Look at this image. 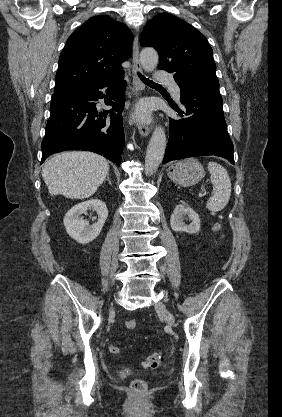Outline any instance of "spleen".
Listing matches in <instances>:
<instances>
[{"mask_svg": "<svg viewBox=\"0 0 282 417\" xmlns=\"http://www.w3.org/2000/svg\"><path fill=\"white\" fill-rule=\"evenodd\" d=\"M208 170L213 184V192L207 202V209L212 213H219V211L225 209L229 202L231 194L230 176L226 168L218 162H208Z\"/></svg>", "mask_w": 282, "mask_h": 417, "instance_id": "obj_1", "label": "spleen"}]
</instances>
